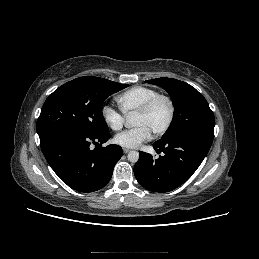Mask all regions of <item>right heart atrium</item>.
Instances as JSON below:
<instances>
[{"label":"right heart atrium","mask_w":259,"mask_h":259,"mask_svg":"<svg viewBox=\"0 0 259 259\" xmlns=\"http://www.w3.org/2000/svg\"><path fill=\"white\" fill-rule=\"evenodd\" d=\"M101 116L105 124L114 131L121 130L125 122L123 113L107 104L102 106Z\"/></svg>","instance_id":"right-heart-atrium-1"}]
</instances>
